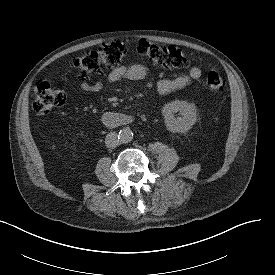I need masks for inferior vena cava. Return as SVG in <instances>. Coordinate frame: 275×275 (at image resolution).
<instances>
[{
	"instance_id": "602c4592",
	"label": "inferior vena cava",
	"mask_w": 275,
	"mask_h": 275,
	"mask_svg": "<svg viewBox=\"0 0 275 275\" xmlns=\"http://www.w3.org/2000/svg\"><path fill=\"white\" fill-rule=\"evenodd\" d=\"M119 138L116 132H110L107 134L105 144L108 148H115L119 145Z\"/></svg>"
}]
</instances>
